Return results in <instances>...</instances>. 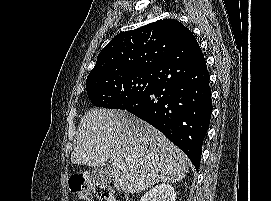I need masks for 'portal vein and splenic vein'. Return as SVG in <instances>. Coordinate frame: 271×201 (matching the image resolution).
<instances>
[{"mask_svg": "<svg viewBox=\"0 0 271 201\" xmlns=\"http://www.w3.org/2000/svg\"><path fill=\"white\" fill-rule=\"evenodd\" d=\"M125 162L128 164H131V163H133V160H131L130 158H125Z\"/></svg>", "mask_w": 271, "mask_h": 201, "instance_id": "obj_1", "label": "portal vein and splenic vein"}]
</instances>
